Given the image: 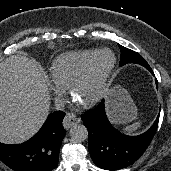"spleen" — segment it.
I'll return each instance as SVG.
<instances>
[{
    "label": "spleen",
    "mask_w": 171,
    "mask_h": 171,
    "mask_svg": "<svg viewBox=\"0 0 171 171\" xmlns=\"http://www.w3.org/2000/svg\"><path fill=\"white\" fill-rule=\"evenodd\" d=\"M140 126H141V123L137 122V123H134L132 125L126 126L122 130H123V132H125L127 134H134Z\"/></svg>",
    "instance_id": "obj_1"
}]
</instances>
